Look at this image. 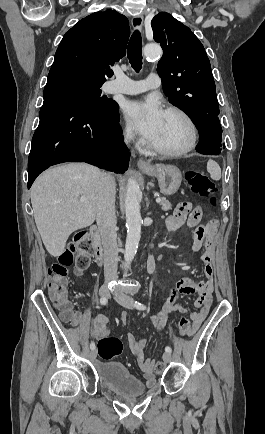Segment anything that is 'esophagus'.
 <instances>
[{"label":"esophagus","mask_w":265,"mask_h":434,"mask_svg":"<svg viewBox=\"0 0 265 434\" xmlns=\"http://www.w3.org/2000/svg\"><path fill=\"white\" fill-rule=\"evenodd\" d=\"M132 27L134 28V30H142V26H143V15H135L132 18ZM138 167H150V164H148V162H146L144 159H139L137 162Z\"/></svg>","instance_id":"34e87169"}]
</instances>
